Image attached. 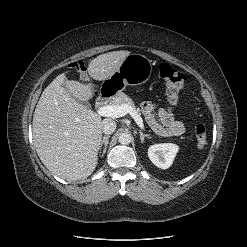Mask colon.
Returning <instances> with one entry per match:
<instances>
[{
	"label": "colon",
	"instance_id": "obj_1",
	"mask_svg": "<svg viewBox=\"0 0 247 247\" xmlns=\"http://www.w3.org/2000/svg\"><path fill=\"white\" fill-rule=\"evenodd\" d=\"M71 66L81 74H84L86 71V66L83 61L75 62ZM159 75L165 83L168 100L171 103H176L185 84L184 74L169 64H162L159 69ZM194 136L196 145L199 148H204L207 145V129L204 123L196 124Z\"/></svg>",
	"mask_w": 247,
	"mask_h": 247
}]
</instances>
